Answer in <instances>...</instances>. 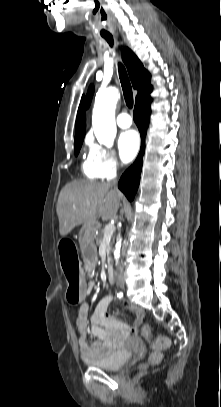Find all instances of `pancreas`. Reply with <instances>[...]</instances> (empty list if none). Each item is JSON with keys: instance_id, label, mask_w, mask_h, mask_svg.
<instances>
[{"instance_id": "obj_1", "label": "pancreas", "mask_w": 221, "mask_h": 407, "mask_svg": "<svg viewBox=\"0 0 221 407\" xmlns=\"http://www.w3.org/2000/svg\"><path fill=\"white\" fill-rule=\"evenodd\" d=\"M103 234H104V230L101 231L99 237L96 239V243H97L98 245H100V244L103 242Z\"/></svg>"}]
</instances>
